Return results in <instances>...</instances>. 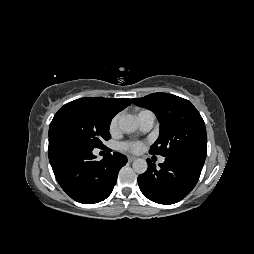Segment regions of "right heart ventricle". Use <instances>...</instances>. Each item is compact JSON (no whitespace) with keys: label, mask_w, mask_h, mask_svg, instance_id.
Wrapping results in <instances>:
<instances>
[{"label":"right heart ventricle","mask_w":254,"mask_h":254,"mask_svg":"<svg viewBox=\"0 0 254 254\" xmlns=\"http://www.w3.org/2000/svg\"><path fill=\"white\" fill-rule=\"evenodd\" d=\"M142 112H148V110H142L140 113H142ZM140 113H139V114H140Z\"/></svg>","instance_id":"obj_1"}]
</instances>
